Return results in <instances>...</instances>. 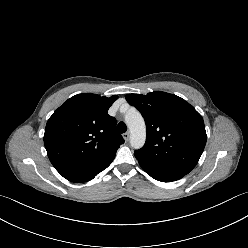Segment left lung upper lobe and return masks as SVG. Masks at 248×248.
I'll return each mask as SVG.
<instances>
[{
	"instance_id": "left-lung-upper-lobe-1",
	"label": "left lung upper lobe",
	"mask_w": 248,
	"mask_h": 248,
	"mask_svg": "<svg viewBox=\"0 0 248 248\" xmlns=\"http://www.w3.org/2000/svg\"><path fill=\"white\" fill-rule=\"evenodd\" d=\"M125 98L146 123L145 145L134 152L139 163L188 174L207 140L202 116L184 99L166 92L127 94Z\"/></svg>"
}]
</instances>
